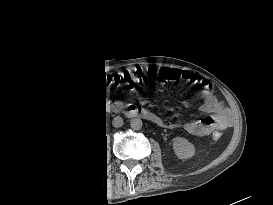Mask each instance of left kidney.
<instances>
[{
	"instance_id": "5707ae66",
	"label": "left kidney",
	"mask_w": 273,
	"mask_h": 205,
	"mask_svg": "<svg viewBox=\"0 0 273 205\" xmlns=\"http://www.w3.org/2000/svg\"><path fill=\"white\" fill-rule=\"evenodd\" d=\"M172 141L173 150L179 159L184 160L192 158L195 155L194 145L187 139L175 137Z\"/></svg>"
}]
</instances>
